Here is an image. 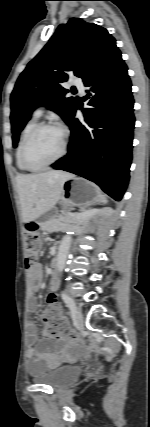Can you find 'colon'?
Returning a JSON list of instances; mask_svg holds the SVG:
<instances>
[{
    "label": "colon",
    "mask_w": 150,
    "mask_h": 427,
    "mask_svg": "<svg viewBox=\"0 0 150 427\" xmlns=\"http://www.w3.org/2000/svg\"><path fill=\"white\" fill-rule=\"evenodd\" d=\"M24 234L27 241L26 266L33 268L38 262L42 247L38 226L35 223L26 224ZM42 318L46 324V332L49 336L55 338H76L62 316L54 293H50L47 297V307L43 311Z\"/></svg>",
    "instance_id": "obj_1"
}]
</instances>
